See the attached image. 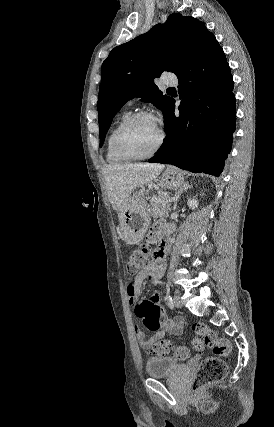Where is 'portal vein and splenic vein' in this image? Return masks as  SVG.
<instances>
[{"instance_id":"obj_1","label":"portal vein and splenic vein","mask_w":274,"mask_h":427,"mask_svg":"<svg viewBox=\"0 0 274 427\" xmlns=\"http://www.w3.org/2000/svg\"><path fill=\"white\" fill-rule=\"evenodd\" d=\"M174 198H171V200H169V202H173Z\"/></svg>"}]
</instances>
